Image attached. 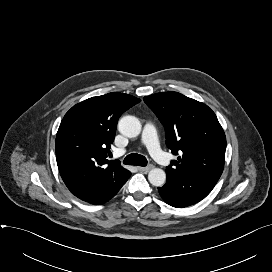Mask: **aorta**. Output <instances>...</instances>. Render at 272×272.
<instances>
[{
	"instance_id": "obj_1",
	"label": "aorta",
	"mask_w": 272,
	"mask_h": 272,
	"mask_svg": "<svg viewBox=\"0 0 272 272\" xmlns=\"http://www.w3.org/2000/svg\"><path fill=\"white\" fill-rule=\"evenodd\" d=\"M141 128L140 121L134 116H124L118 122L119 132L129 138L138 136ZM148 180L153 186L161 187L165 184L166 173L160 168H154L149 171Z\"/></svg>"
}]
</instances>
